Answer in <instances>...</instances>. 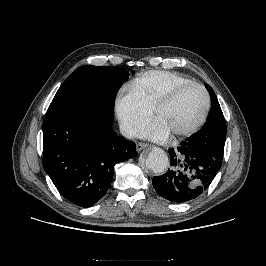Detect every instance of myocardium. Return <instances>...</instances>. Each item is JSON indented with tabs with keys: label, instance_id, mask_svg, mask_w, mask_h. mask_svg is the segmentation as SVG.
I'll return each instance as SVG.
<instances>
[{
	"label": "myocardium",
	"instance_id": "myocardium-1",
	"mask_svg": "<svg viewBox=\"0 0 266 266\" xmlns=\"http://www.w3.org/2000/svg\"><path fill=\"white\" fill-rule=\"evenodd\" d=\"M189 88H198L202 91L205 97V108L201 115V117L190 127L174 132V137H184L189 136L197 132L206 122L210 110H211V97L208 92V90L201 84L196 82H189L180 84L174 88H172L170 91H168L154 106L153 108V116L156 118L157 114L166 106L171 104L183 91L189 89Z\"/></svg>",
	"mask_w": 266,
	"mask_h": 266
}]
</instances>
